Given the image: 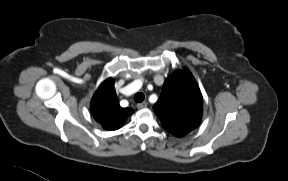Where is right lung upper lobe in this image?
<instances>
[{
	"instance_id": "1",
	"label": "right lung upper lobe",
	"mask_w": 288,
	"mask_h": 181,
	"mask_svg": "<svg viewBox=\"0 0 288 181\" xmlns=\"http://www.w3.org/2000/svg\"><path fill=\"white\" fill-rule=\"evenodd\" d=\"M91 110L96 121L107 130L121 128L126 118L134 112L131 108L120 107L111 78L105 80L95 92Z\"/></svg>"
}]
</instances>
